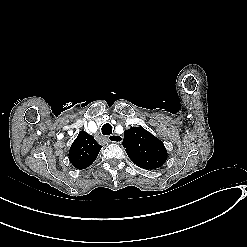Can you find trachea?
<instances>
[{
  "label": "trachea",
  "instance_id": "obj_1",
  "mask_svg": "<svg viewBox=\"0 0 247 247\" xmlns=\"http://www.w3.org/2000/svg\"><path fill=\"white\" fill-rule=\"evenodd\" d=\"M112 132H113V127L110 123H105L102 126V134L103 135H110V134H112Z\"/></svg>",
  "mask_w": 247,
  "mask_h": 247
}]
</instances>
